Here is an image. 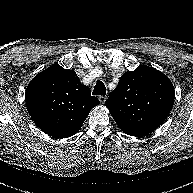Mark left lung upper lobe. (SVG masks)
I'll list each match as a JSON object with an SVG mask.
<instances>
[{
    "instance_id": "obj_1",
    "label": "left lung upper lobe",
    "mask_w": 193,
    "mask_h": 193,
    "mask_svg": "<svg viewBox=\"0 0 193 193\" xmlns=\"http://www.w3.org/2000/svg\"><path fill=\"white\" fill-rule=\"evenodd\" d=\"M175 91L162 72L140 65L124 73L105 102L119 128L141 137L157 129L172 110Z\"/></svg>"
}]
</instances>
